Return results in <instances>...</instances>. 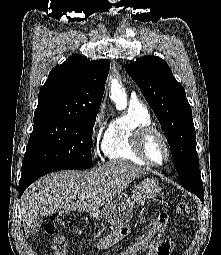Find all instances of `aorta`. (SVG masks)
<instances>
[{
	"label": "aorta",
	"instance_id": "1",
	"mask_svg": "<svg viewBox=\"0 0 221 255\" xmlns=\"http://www.w3.org/2000/svg\"><path fill=\"white\" fill-rule=\"evenodd\" d=\"M110 98L116 104V108L123 110L127 106V94L117 79L112 80Z\"/></svg>",
	"mask_w": 221,
	"mask_h": 255
}]
</instances>
